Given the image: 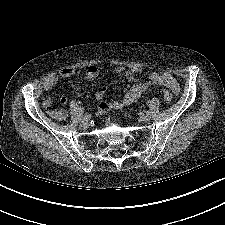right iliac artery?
Segmentation results:
<instances>
[{
    "label": "right iliac artery",
    "mask_w": 225,
    "mask_h": 225,
    "mask_svg": "<svg viewBox=\"0 0 225 225\" xmlns=\"http://www.w3.org/2000/svg\"><path fill=\"white\" fill-rule=\"evenodd\" d=\"M90 118H91V114L90 113H86L81 120L82 121H88Z\"/></svg>",
    "instance_id": "82829eb1"
}]
</instances>
